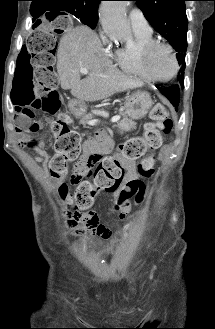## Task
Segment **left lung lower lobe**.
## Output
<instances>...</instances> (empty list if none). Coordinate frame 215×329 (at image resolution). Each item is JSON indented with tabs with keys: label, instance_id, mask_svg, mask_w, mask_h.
I'll return each mask as SVG.
<instances>
[{
	"label": "left lung lower lobe",
	"instance_id": "1",
	"mask_svg": "<svg viewBox=\"0 0 215 329\" xmlns=\"http://www.w3.org/2000/svg\"><path fill=\"white\" fill-rule=\"evenodd\" d=\"M181 88H184V83L183 84L178 83L177 85L168 88L158 87V89L170 100V102L173 104L176 110L179 103V90Z\"/></svg>",
	"mask_w": 215,
	"mask_h": 329
}]
</instances>
